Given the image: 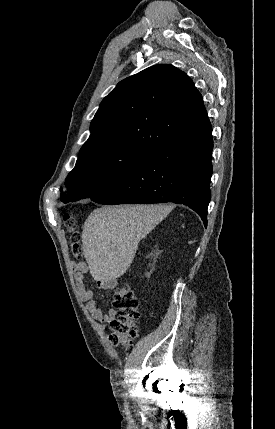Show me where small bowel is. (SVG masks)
I'll list each match as a JSON object with an SVG mask.
<instances>
[{
  "label": "small bowel",
  "mask_w": 275,
  "mask_h": 429,
  "mask_svg": "<svg viewBox=\"0 0 275 429\" xmlns=\"http://www.w3.org/2000/svg\"><path fill=\"white\" fill-rule=\"evenodd\" d=\"M87 266L84 263H79L73 266L75 271V281L77 283L78 295L80 299L85 302L86 310L91 314L92 318L100 323H107L115 318L117 311L113 308L109 309L106 313L103 312L96 304V301L93 299V293L91 290L87 289L84 285V274L86 272ZM111 283L107 281L99 282V286L103 289H108L111 287Z\"/></svg>",
  "instance_id": "small-bowel-1"
}]
</instances>
